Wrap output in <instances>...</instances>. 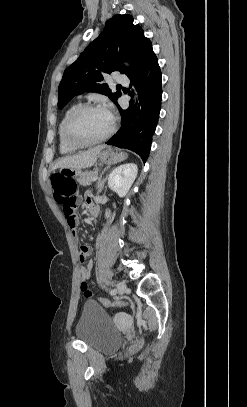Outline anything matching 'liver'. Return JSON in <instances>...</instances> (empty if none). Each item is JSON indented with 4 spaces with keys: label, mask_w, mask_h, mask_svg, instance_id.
<instances>
[{
    "label": "liver",
    "mask_w": 247,
    "mask_h": 407,
    "mask_svg": "<svg viewBox=\"0 0 247 407\" xmlns=\"http://www.w3.org/2000/svg\"><path fill=\"white\" fill-rule=\"evenodd\" d=\"M105 146H98L88 151L63 157L55 163L53 169L57 168H69L74 170H81L83 168H88L94 165L100 152Z\"/></svg>",
    "instance_id": "liver-1"
}]
</instances>
